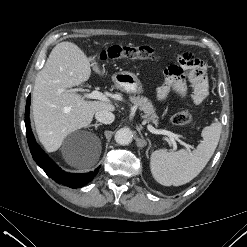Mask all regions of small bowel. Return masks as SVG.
<instances>
[{
    "mask_svg": "<svg viewBox=\"0 0 247 247\" xmlns=\"http://www.w3.org/2000/svg\"><path fill=\"white\" fill-rule=\"evenodd\" d=\"M178 60L179 65H171L167 68L165 82L157 90L158 99L164 101L170 93L184 99L187 91L185 78H187L192 88L190 102L202 103L209 92L205 66L189 54L179 56Z\"/></svg>",
    "mask_w": 247,
    "mask_h": 247,
    "instance_id": "1",
    "label": "small bowel"
}]
</instances>
